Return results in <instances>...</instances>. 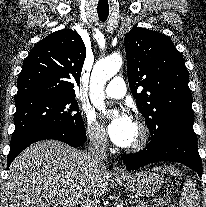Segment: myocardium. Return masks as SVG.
Segmentation results:
<instances>
[{"label": "myocardium", "mask_w": 206, "mask_h": 207, "mask_svg": "<svg viewBox=\"0 0 206 207\" xmlns=\"http://www.w3.org/2000/svg\"><path fill=\"white\" fill-rule=\"evenodd\" d=\"M135 125L138 128L139 137L133 144H131L127 148V151H130V152H135V151H139L143 149L148 144L150 137H151L150 128L144 121L136 120Z\"/></svg>", "instance_id": "obj_1"}]
</instances>
